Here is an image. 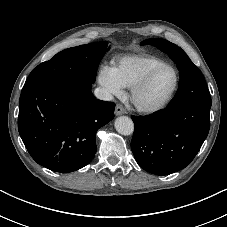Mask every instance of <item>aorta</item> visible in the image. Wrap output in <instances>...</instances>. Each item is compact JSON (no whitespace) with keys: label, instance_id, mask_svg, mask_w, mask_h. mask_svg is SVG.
<instances>
[{"label":"aorta","instance_id":"obj_1","mask_svg":"<svg viewBox=\"0 0 227 227\" xmlns=\"http://www.w3.org/2000/svg\"><path fill=\"white\" fill-rule=\"evenodd\" d=\"M115 129L121 135H131L134 131V123L127 116H120L115 120Z\"/></svg>","mask_w":227,"mask_h":227}]
</instances>
